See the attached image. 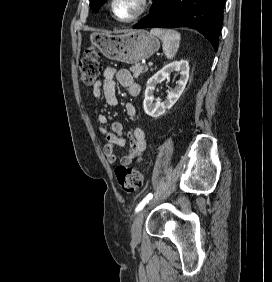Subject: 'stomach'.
Returning a JSON list of instances; mask_svg holds the SVG:
<instances>
[{"mask_svg":"<svg viewBox=\"0 0 272 282\" xmlns=\"http://www.w3.org/2000/svg\"><path fill=\"white\" fill-rule=\"evenodd\" d=\"M90 40L107 58L127 64H137L160 48L159 40L144 29L121 35L93 33Z\"/></svg>","mask_w":272,"mask_h":282,"instance_id":"stomach-1","label":"stomach"}]
</instances>
